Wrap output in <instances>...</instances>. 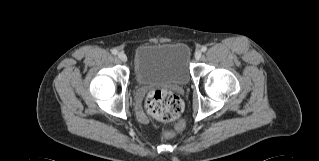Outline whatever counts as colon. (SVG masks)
<instances>
[{
    "label": "colon",
    "instance_id": "1",
    "mask_svg": "<svg viewBox=\"0 0 319 161\" xmlns=\"http://www.w3.org/2000/svg\"><path fill=\"white\" fill-rule=\"evenodd\" d=\"M145 108L151 116L159 121L176 122L178 129L184 126L182 119L184 103L178 95L171 91L155 89L149 92L145 99Z\"/></svg>",
    "mask_w": 319,
    "mask_h": 161
}]
</instances>
